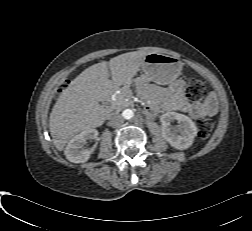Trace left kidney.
<instances>
[{
    "label": "left kidney",
    "mask_w": 252,
    "mask_h": 231,
    "mask_svg": "<svg viewBox=\"0 0 252 231\" xmlns=\"http://www.w3.org/2000/svg\"><path fill=\"white\" fill-rule=\"evenodd\" d=\"M167 117L170 120H176L179 123V128L181 130V135L176 133H169L167 136V141L169 144L179 150L189 148L197 135V127L195 123L186 115L179 113H169Z\"/></svg>",
    "instance_id": "1"
}]
</instances>
